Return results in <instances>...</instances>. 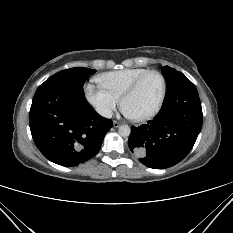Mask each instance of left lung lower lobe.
Segmentation results:
<instances>
[{"label":"left lung lower lobe","mask_w":233,"mask_h":233,"mask_svg":"<svg viewBox=\"0 0 233 233\" xmlns=\"http://www.w3.org/2000/svg\"><path fill=\"white\" fill-rule=\"evenodd\" d=\"M202 107L195 85L181 72L167 88L161 110L132 127L128 146L147 167H171L191 151L202 127Z\"/></svg>","instance_id":"1"}]
</instances>
